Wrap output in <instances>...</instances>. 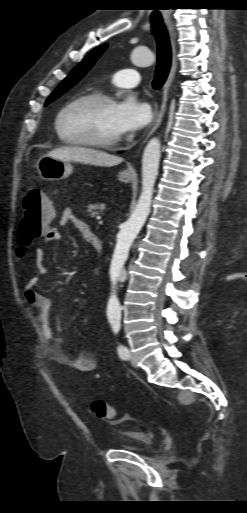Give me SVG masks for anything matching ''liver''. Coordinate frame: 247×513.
Segmentation results:
<instances>
[{
  "mask_svg": "<svg viewBox=\"0 0 247 513\" xmlns=\"http://www.w3.org/2000/svg\"><path fill=\"white\" fill-rule=\"evenodd\" d=\"M47 155L62 161H76L100 167H111L120 164L123 160L107 152L82 146L56 148Z\"/></svg>",
  "mask_w": 247,
  "mask_h": 513,
  "instance_id": "obj_1",
  "label": "liver"
}]
</instances>
